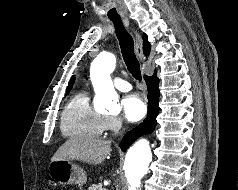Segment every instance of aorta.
I'll return each mask as SVG.
<instances>
[{"label":"aorta","instance_id":"1","mask_svg":"<svg viewBox=\"0 0 238 190\" xmlns=\"http://www.w3.org/2000/svg\"><path fill=\"white\" fill-rule=\"evenodd\" d=\"M116 64L115 56L109 52L100 53L92 62L90 77L96 93L95 104L99 109L119 112L118 95L110 74ZM152 153L149 142L141 139L129 148L125 157L124 170L129 190L139 187L141 178L147 173Z\"/></svg>","mask_w":238,"mask_h":190}]
</instances>
